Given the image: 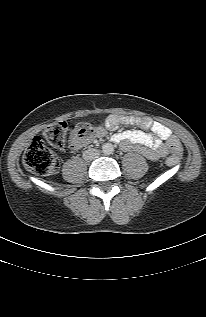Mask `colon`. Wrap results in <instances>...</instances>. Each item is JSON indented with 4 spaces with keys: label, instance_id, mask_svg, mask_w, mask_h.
I'll return each mask as SVG.
<instances>
[{
    "label": "colon",
    "instance_id": "colon-1",
    "mask_svg": "<svg viewBox=\"0 0 206 317\" xmlns=\"http://www.w3.org/2000/svg\"><path fill=\"white\" fill-rule=\"evenodd\" d=\"M71 135L72 141H88L97 134V129L87 123H75L69 125L67 122H57L48 126L42 136H36L23 155V164L30 172L51 176L58 172L59 161L49 146L62 148L66 144L67 136ZM170 157L167 159L169 166L177 165L182 158V147L180 141L172 136L168 140Z\"/></svg>",
    "mask_w": 206,
    "mask_h": 317
}]
</instances>
